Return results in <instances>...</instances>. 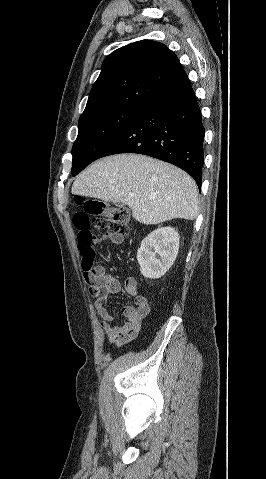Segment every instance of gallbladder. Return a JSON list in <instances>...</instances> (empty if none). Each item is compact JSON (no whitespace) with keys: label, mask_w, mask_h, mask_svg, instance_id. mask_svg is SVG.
I'll use <instances>...</instances> for the list:
<instances>
[{"label":"gallbladder","mask_w":266,"mask_h":479,"mask_svg":"<svg viewBox=\"0 0 266 479\" xmlns=\"http://www.w3.org/2000/svg\"><path fill=\"white\" fill-rule=\"evenodd\" d=\"M113 203H114L116 206H118V207H123V206H124L123 203L118 202V201H116V200H113Z\"/></svg>","instance_id":"bac80fb5"}]
</instances>
